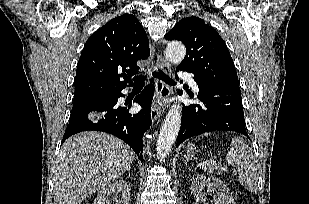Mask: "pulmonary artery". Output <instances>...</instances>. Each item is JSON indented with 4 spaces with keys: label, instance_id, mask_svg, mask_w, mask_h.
I'll return each instance as SVG.
<instances>
[{
    "label": "pulmonary artery",
    "instance_id": "obj_1",
    "mask_svg": "<svg viewBox=\"0 0 309 204\" xmlns=\"http://www.w3.org/2000/svg\"><path fill=\"white\" fill-rule=\"evenodd\" d=\"M180 77H182L183 79L187 80L194 90H198V85H197V83L195 82L193 76L190 73L181 72L180 73Z\"/></svg>",
    "mask_w": 309,
    "mask_h": 204
}]
</instances>
